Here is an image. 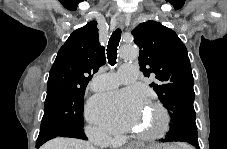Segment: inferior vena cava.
Listing matches in <instances>:
<instances>
[{
    "mask_svg": "<svg viewBox=\"0 0 227 149\" xmlns=\"http://www.w3.org/2000/svg\"><path fill=\"white\" fill-rule=\"evenodd\" d=\"M91 138L95 141H98L99 143L108 142V140H107L108 136L99 131H94L91 135Z\"/></svg>",
    "mask_w": 227,
    "mask_h": 149,
    "instance_id": "inferior-vena-cava-1",
    "label": "inferior vena cava"
}]
</instances>
